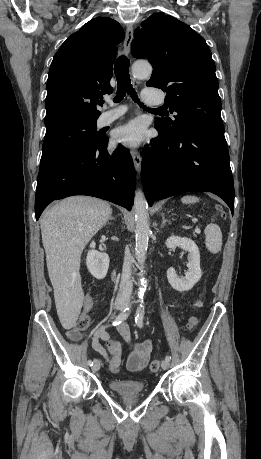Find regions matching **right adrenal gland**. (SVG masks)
<instances>
[{
    "label": "right adrenal gland",
    "instance_id": "1",
    "mask_svg": "<svg viewBox=\"0 0 261 459\" xmlns=\"http://www.w3.org/2000/svg\"><path fill=\"white\" fill-rule=\"evenodd\" d=\"M109 220H115V218H114V217H112V215H110V217H109L108 221H109Z\"/></svg>",
    "mask_w": 261,
    "mask_h": 459
}]
</instances>
